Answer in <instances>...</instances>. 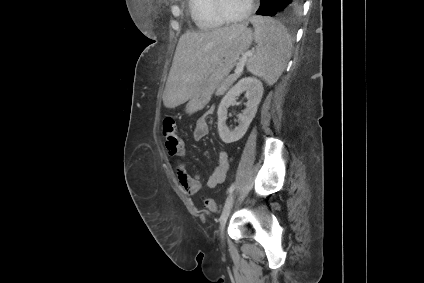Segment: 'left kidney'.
I'll use <instances>...</instances> for the list:
<instances>
[{"label":"left kidney","instance_id":"obj_1","mask_svg":"<svg viewBox=\"0 0 424 283\" xmlns=\"http://www.w3.org/2000/svg\"><path fill=\"white\" fill-rule=\"evenodd\" d=\"M263 91L264 89L261 81L253 77H245L240 79L223 97L217 111L218 131L223 142L232 143L240 140L245 135L250 123L256 115ZM242 92H246V108L243 110L242 114L238 115L239 125L235 127L234 130L230 131L226 125L227 110Z\"/></svg>","mask_w":424,"mask_h":283}]
</instances>
